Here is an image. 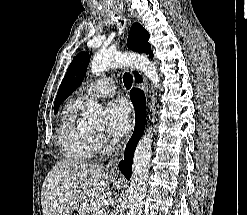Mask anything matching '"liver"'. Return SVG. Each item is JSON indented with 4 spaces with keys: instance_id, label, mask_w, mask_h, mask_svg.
<instances>
[{
    "instance_id": "obj_1",
    "label": "liver",
    "mask_w": 247,
    "mask_h": 215,
    "mask_svg": "<svg viewBox=\"0 0 247 215\" xmlns=\"http://www.w3.org/2000/svg\"><path fill=\"white\" fill-rule=\"evenodd\" d=\"M109 190L108 175L96 164L57 162L42 186L43 215H68L88 202L100 203Z\"/></svg>"
}]
</instances>
